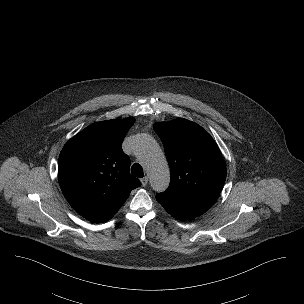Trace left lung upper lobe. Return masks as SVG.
<instances>
[{
  "label": "left lung upper lobe",
  "mask_w": 304,
  "mask_h": 304,
  "mask_svg": "<svg viewBox=\"0 0 304 304\" xmlns=\"http://www.w3.org/2000/svg\"><path fill=\"white\" fill-rule=\"evenodd\" d=\"M165 149L171 179L156 199L194 215L205 213L218 198L226 167L212 137L199 125L182 118L154 124Z\"/></svg>",
  "instance_id": "obj_1"
}]
</instances>
